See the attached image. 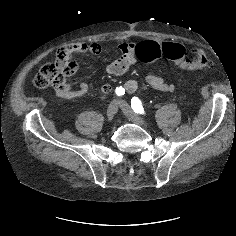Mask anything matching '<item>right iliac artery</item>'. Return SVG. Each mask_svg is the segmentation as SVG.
I'll use <instances>...</instances> for the list:
<instances>
[{
    "label": "right iliac artery",
    "mask_w": 236,
    "mask_h": 236,
    "mask_svg": "<svg viewBox=\"0 0 236 236\" xmlns=\"http://www.w3.org/2000/svg\"><path fill=\"white\" fill-rule=\"evenodd\" d=\"M115 93L117 96H122L125 94V89L122 86L117 87Z\"/></svg>",
    "instance_id": "obj_1"
}]
</instances>
